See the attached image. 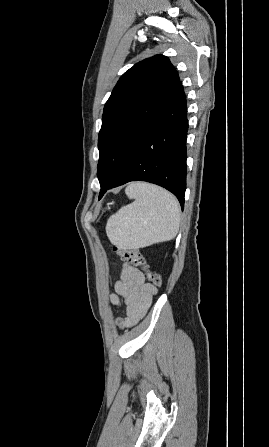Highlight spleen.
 <instances>
[{
    "label": "spleen",
    "instance_id": "obj_1",
    "mask_svg": "<svg viewBox=\"0 0 269 447\" xmlns=\"http://www.w3.org/2000/svg\"><path fill=\"white\" fill-rule=\"evenodd\" d=\"M130 200L106 224V233L120 249H138L158 241H169L180 227V206L173 194L147 184L130 182L125 190Z\"/></svg>",
    "mask_w": 269,
    "mask_h": 447
}]
</instances>
